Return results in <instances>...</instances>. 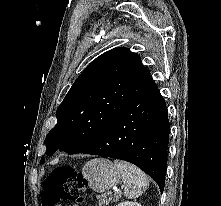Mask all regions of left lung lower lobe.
Wrapping results in <instances>:
<instances>
[{"mask_svg": "<svg viewBox=\"0 0 221 206\" xmlns=\"http://www.w3.org/2000/svg\"><path fill=\"white\" fill-rule=\"evenodd\" d=\"M169 133L165 101L153 83L78 153L131 162L151 176L163 192Z\"/></svg>", "mask_w": 221, "mask_h": 206, "instance_id": "left-lung-lower-lobe-1", "label": "left lung lower lobe"}]
</instances>
